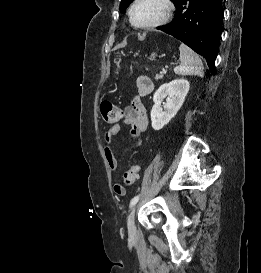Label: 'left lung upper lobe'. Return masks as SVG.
<instances>
[{"instance_id":"1","label":"left lung upper lobe","mask_w":261,"mask_h":273,"mask_svg":"<svg viewBox=\"0 0 261 273\" xmlns=\"http://www.w3.org/2000/svg\"><path fill=\"white\" fill-rule=\"evenodd\" d=\"M133 0H121V3H120V11L121 12H124L125 8L132 2ZM174 3L177 1V0H172Z\"/></svg>"}]
</instances>
